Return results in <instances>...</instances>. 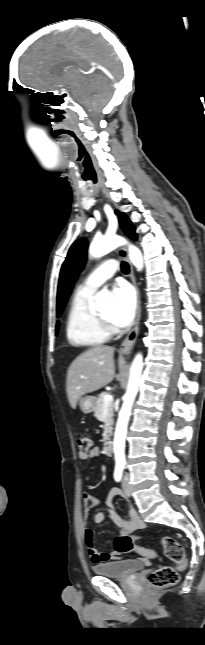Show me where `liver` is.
Masks as SVG:
<instances>
[{
    "mask_svg": "<svg viewBox=\"0 0 205 645\" xmlns=\"http://www.w3.org/2000/svg\"><path fill=\"white\" fill-rule=\"evenodd\" d=\"M114 348L95 346L80 354L69 366L66 391L70 406L75 409L85 394L109 384L115 376Z\"/></svg>",
    "mask_w": 205,
    "mask_h": 645,
    "instance_id": "6515ba94",
    "label": "liver"
}]
</instances>
